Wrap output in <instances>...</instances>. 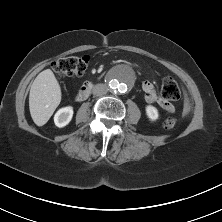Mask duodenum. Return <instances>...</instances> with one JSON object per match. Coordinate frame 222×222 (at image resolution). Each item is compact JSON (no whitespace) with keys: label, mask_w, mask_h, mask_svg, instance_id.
<instances>
[{"label":"duodenum","mask_w":222,"mask_h":222,"mask_svg":"<svg viewBox=\"0 0 222 222\" xmlns=\"http://www.w3.org/2000/svg\"><path fill=\"white\" fill-rule=\"evenodd\" d=\"M93 89V83L92 82H86L84 83L81 88L79 89L78 93L76 94V101L81 102L88 98L91 91Z\"/></svg>","instance_id":"obj_1"}]
</instances>
